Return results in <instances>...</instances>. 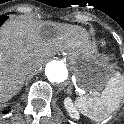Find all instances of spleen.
I'll return each mask as SVG.
<instances>
[{
    "label": "spleen",
    "instance_id": "1",
    "mask_svg": "<svg viewBox=\"0 0 124 124\" xmlns=\"http://www.w3.org/2000/svg\"><path fill=\"white\" fill-rule=\"evenodd\" d=\"M118 78L111 81L100 94V97L88 99L79 97L74 101L75 107L84 116L92 121H100L105 119L106 114L113 112L119 105L120 88L116 87Z\"/></svg>",
    "mask_w": 124,
    "mask_h": 124
}]
</instances>
